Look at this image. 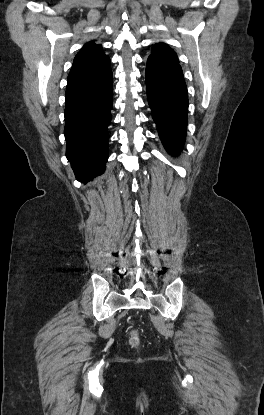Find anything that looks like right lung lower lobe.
Returning <instances> with one entry per match:
<instances>
[{"mask_svg":"<svg viewBox=\"0 0 264 415\" xmlns=\"http://www.w3.org/2000/svg\"><path fill=\"white\" fill-rule=\"evenodd\" d=\"M112 72L69 82L65 98L66 157L77 180L91 181L105 170L111 121Z\"/></svg>","mask_w":264,"mask_h":415,"instance_id":"obj_1","label":"right lung lower lobe"}]
</instances>
